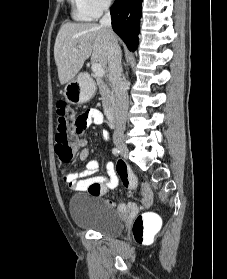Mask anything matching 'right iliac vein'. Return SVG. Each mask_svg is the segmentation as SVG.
I'll use <instances>...</instances> for the list:
<instances>
[{
    "label": "right iliac vein",
    "mask_w": 227,
    "mask_h": 279,
    "mask_svg": "<svg viewBox=\"0 0 227 279\" xmlns=\"http://www.w3.org/2000/svg\"><path fill=\"white\" fill-rule=\"evenodd\" d=\"M115 145L118 148V150L120 151L121 155L123 157H127L128 156V148L126 146V144L124 143L123 140H115Z\"/></svg>",
    "instance_id": "63e3f726"
}]
</instances>
